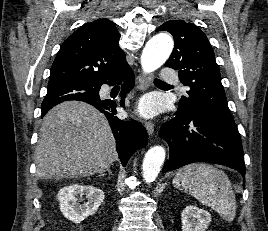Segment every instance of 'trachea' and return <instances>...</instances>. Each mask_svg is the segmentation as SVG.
<instances>
[{
	"mask_svg": "<svg viewBox=\"0 0 268 231\" xmlns=\"http://www.w3.org/2000/svg\"><path fill=\"white\" fill-rule=\"evenodd\" d=\"M155 82H161V83H164V82L161 81L160 79H155Z\"/></svg>",
	"mask_w": 268,
	"mask_h": 231,
	"instance_id": "1",
	"label": "trachea"
}]
</instances>
